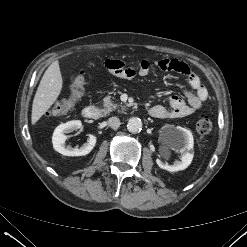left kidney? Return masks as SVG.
Wrapping results in <instances>:
<instances>
[{
	"label": "left kidney",
	"mask_w": 247,
	"mask_h": 247,
	"mask_svg": "<svg viewBox=\"0 0 247 247\" xmlns=\"http://www.w3.org/2000/svg\"><path fill=\"white\" fill-rule=\"evenodd\" d=\"M193 145L194 139L191 131L179 126L175 127L170 138V149L181 152V161H175L173 165H169L168 163L157 160V165L161 169H165L169 172H177L186 169L193 159V153L191 152Z\"/></svg>",
	"instance_id": "obj_1"
}]
</instances>
